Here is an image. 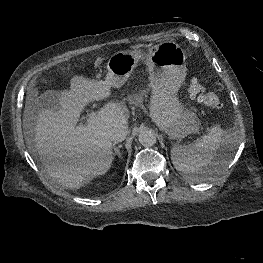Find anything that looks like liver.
<instances>
[{
	"instance_id": "obj_1",
	"label": "liver",
	"mask_w": 263,
	"mask_h": 263,
	"mask_svg": "<svg viewBox=\"0 0 263 263\" xmlns=\"http://www.w3.org/2000/svg\"><path fill=\"white\" fill-rule=\"evenodd\" d=\"M57 95V111L41 109L34 116V98L29 94L23 124L26 133L31 128L35 132V148L46 173L61 187L77 190L110 169L113 150L109 132L115 127L127 128L129 114L126 106L109 102L86 124V130L80 131L76 125L84 107L110 97L111 86L75 75L70 90Z\"/></svg>"
}]
</instances>
